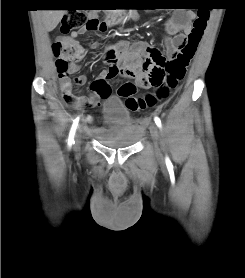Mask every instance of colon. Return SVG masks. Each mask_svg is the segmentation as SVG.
Masks as SVG:
<instances>
[{
	"label": "colon",
	"mask_w": 245,
	"mask_h": 278,
	"mask_svg": "<svg viewBox=\"0 0 245 278\" xmlns=\"http://www.w3.org/2000/svg\"><path fill=\"white\" fill-rule=\"evenodd\" d=\"M196 16L193 19L192 31L188 35L187 42L182 46L181 52L171 59L163 55H157L154 66L147 74V80L156 87V93L139 96L135 92V86L131 81L122 83L117 90L119 97L125 99L126 106L130 111H141L146 107L154 106L157 102H166L171 91L183 80L195 55L197 45L200 42L210 12L205 6L197 7ZM96 18H87L82 11H73L64 16L60 24L63 34L73 33L80 30L96 31L100 25ZM52 51L56 56V69L60 79L68 78V63L76 59L82 49L78 46L68 45L63 41L56 40L52 44ZM64 98L67 104L74 109H86L94 106L92 95L78 97L66 89Z\"/></svg>",
	"instance_id": "5ec220e1"
}]
</instances>
